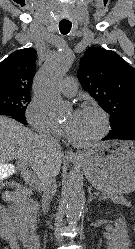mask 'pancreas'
Wrapping results in <instances>:
<instances>
[{
    "mask_svg": "<svg viewBox=\"0 0 135 249\" xmlns=\"http://www.w3.org/2000/svg\"><path fill=\"white\" fill-rule=\"evenodd\" d=\"M113 203L115 204H122V205H127L130 206V202H128L124 197L122 196H116V195H109ZM37 210V204L30 205L28 206V213L31 215H35Z\"/></svg>",
    "mask_w": 135,
    "mask_h": 249,
    "instance_id": "obj_1",
    "label": "pancreas"
}]
</instances>
